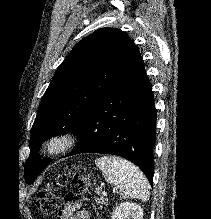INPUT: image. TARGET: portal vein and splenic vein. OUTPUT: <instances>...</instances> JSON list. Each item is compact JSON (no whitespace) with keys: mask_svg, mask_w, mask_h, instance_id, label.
I'll return each instance as SVG.
<instances>
[{"mask_svg":"<svg viewBox=\"0 0 211 219\" xmlns=\"http://www.w3.org/2000/svg\"><path fill=\"white\" fill-rule=\"evenodd\" d=\"M102 194H103V195H106V192H103Z\"/></svg>","mask_w":211,"mask_h":219,"instance_id":"1","label":"portal vein and splenic vein"}]
</instances>
